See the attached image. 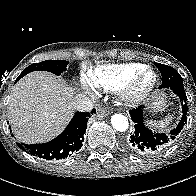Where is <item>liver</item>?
Segmentation results:
<instances>
[{"label": "liver", "mask_w": 196, "mask_h": 196, "mask_svg": "<svg viewBox=\"0 0 196 196\" xmlns=\"http://www.w3.org/2000/svg\"><path fill=\"white\" fill-rule=\"evenodd\" d=\"M73 96V88L52 73L27 74L10 95L8 115L13 133L24 143L51 140L71 119Z\"/></svg>", "instance_id": "1"}]
</instances>
